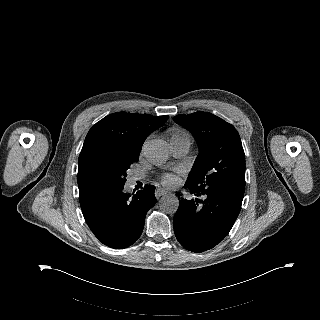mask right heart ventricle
Masks as SVG:
<instances>
[{"instance_id":"right-heart-ventricle-1","label":"right heart ventricle","mask_w":320,"mask_h":320,"mask_svg":"<svg viewBox=\"0 0 320 320\" xmlns=\"http://www.w3.org/2000/svg\"><path fill=\"white\" fill-rule=\"evenodd\" d=\"M171 137H176V138L188 137V138H190V135L184 130H176Z\"/></svg>"}]
</instances>
